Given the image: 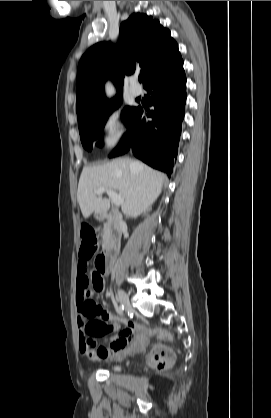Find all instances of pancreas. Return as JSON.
<instances>
[{"mask_svg": "<svg viewBox=\"0 0 271 418\" xmlns=\"http://www.w3.org/2000/svg\"><path fill=\"white\" fill-rule=\"evenodd\" d=\"M109 235V231L107 228L104 229V234H103V240L106 239V237Z\"/></svg>", "mask_w": 271, "mask_h": 418, "instance_id": "pancreas-1", "label": "pancreas"}]
</instances>
